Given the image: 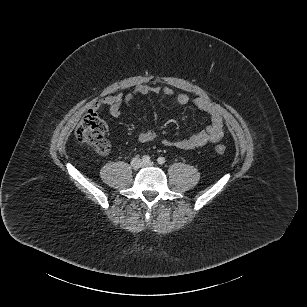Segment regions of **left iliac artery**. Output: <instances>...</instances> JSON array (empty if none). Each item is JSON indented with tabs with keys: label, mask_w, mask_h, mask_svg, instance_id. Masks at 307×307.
Instances as JSON below:
<instances>
[{
	"label": "left iliac artery",
	"mask_w": 307,
	"mask_h": 307,
	"mask_svg": "<svg viewBox=\"0 0 307 307\" xmlns=\"http://www.w3.org/2000/svg\"><path fill=\"white\" fill-rule=\"evenodd\" d=\"M158 164L163 165L165 163V158L164 157H159L157 159Z\"/></svg>",
	"instance_id": "obj_1"
}]
</instances>
